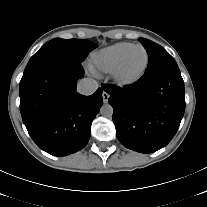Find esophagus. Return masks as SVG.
<instances>
[{"label":"esophagus","instance_id":"34e87169","mask_svg":"<svg viewBox=\"0 0 207 207\" xmlns=\"http://www.w3.org/2000/svg\"><path fill=\"white\" fill-rule=\"evenodd\" d=\"M102 98H103V102L107 103L108 99H109V94L107 92L103 91Z\"/></svg>","mask_w":207,"mask_h":207}]
</instances>
